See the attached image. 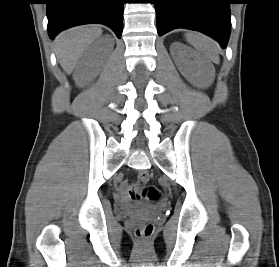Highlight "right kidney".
<instances>
[{
	"label": "right kidney",
	"instance_id": "ca27d5eb",
	"mask_svg": "<svg viewBox=\"0 0 279 267\" xmlns=\"http://www.w3.org/2000/svg\"><path fill=\"white\" fill-rule=\"evenodd\" d=\"M86 63H87V61L86 60H83V62L80 64V66H79V70L80 71H87V68H86Z\"/></svg>",
	"mask_w": 279,
	"mask_h": 267
}]
</instances>
